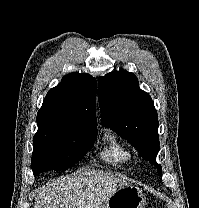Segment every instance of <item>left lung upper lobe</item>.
I'll return each mask as SVG.
<instances>
[{"label":"left lung upper lobe","mask_w":199,"mask_h":208,"mask_svg":"<svg viewBox=\"0 0 199 208\" xmlns=\"http://www.w3.org/2000/svg\"><path fill=\"white\" fill-rule=\"evenodd\" d=\"M98 100L102 125L131 143L142 157L157 167L158 116L149 94L139 88L137 77L125 70L98 78Z\"/></svg>","instance_id":"obj_1"}]
</instances>
